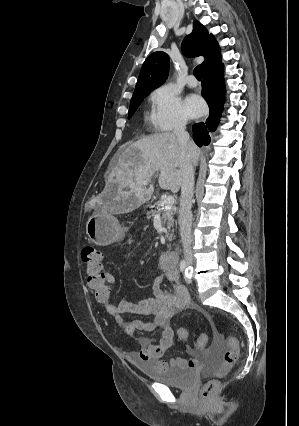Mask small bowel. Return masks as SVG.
Masks as SVG:
<instances>
[{
  "mask_svg": "<svg viewBox=\"0 0 299 426\" xmlns=\"http://www.w3.org/2000/svg\"><path fill=\"white\" fill-rule=\"evenodd\" d=\"M162 268L164 274L155 279L151 297L137 302L121 300L114 304L111 301L105 305V308L130 337H134L137 331L160 332V338L157 342L148 336L139 337L137 339L139 350L129 353L130 361H150L158 369L168 367L194 368L200 362L202 348L187 346L186 350L191 355L189 359L176 357L168 362L162 360V356L172 346L174 340V331L170 326L171 318L191 306V300L186 289L178 283L176 266L166 267L162 265ZM103 272L107 284L111 287L115 285V276L104 266ZM165 281L173 284L171 291L164 289ZM125 314L151 316L152 319L150 321L127 320Z\"/></svg>",
  "mask_w": 299,
  "mask_h": 426,
  "instance_id": "c3829d8e",
  "label": "small bowel"
}]
</instances>
